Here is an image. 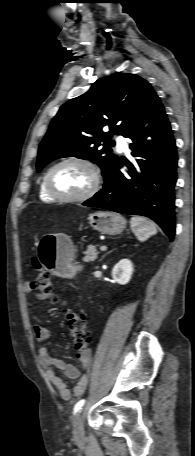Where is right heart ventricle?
Masks as SVG:
<instances>
[{
	"instance_id": "right-heart-ventricle-1",
	"label": "right heart ventricle",
	"mask_w": 195,
	"mask_h": 456,
	"mask_svg": "<svg viewBox=\"0 0 195 456\" xmlns=\"http://www.w3.org/2000/svg\"><path fill=\"white\" fill-rule=\"evenodd\" d=\"M39 197L41 200L43 201H46V202H50V201H53L54 199L48 195V193L46 192L45 190V187H44V181H43V178L39 184Z\"/></svg>"
}]
</instances>
